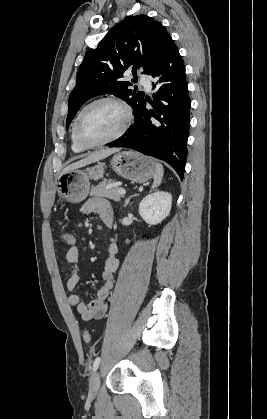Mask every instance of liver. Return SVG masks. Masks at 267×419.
I'll list each match as a JSON object with an SVG mask.
<instances>
[{
  "mask_svg": "<svg viewBox=\"0 0 267 419\" xmlns=\"http://www.w3.org/2000/svg\"><path fill=\"white\" fill-rule=\"evenodd\" d=\"M119 151L120 149L118 148H106V149L95 151L92 154L88 155L87 157L68 165L66 168L63 169L61 174L67 171L73 170V169L81 168L83 166H86L94 162H98L110 156L111 154L117 153Z\"/></svg>",
  "mask_w": 267,
  "mask_h": 419,
  "instance_id": "liver-1",
  "label": "liver"
}]
</instances>
